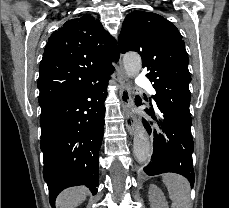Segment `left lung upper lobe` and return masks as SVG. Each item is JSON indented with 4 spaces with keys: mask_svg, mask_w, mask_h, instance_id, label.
I'll return each mask as SVG.
<instances>
[{
    "mask_svg": "<svg viewBox=\"0 0 229 208\" xmlns=\"http://www.w3.org/2000/svg\"><path fill=\"white\" fill-rule=\"evenodd\" d=\"M119 48L122 53L136 51L141 55L146 77L156 90L153 98L157 105L191 116L189 59L173 23L152 12H131L123 22Z\"/></svg>",
    "mask_w": 229,
    "mask_h": 208,
    "instance_id": "obj_1",
    "label": "left lung upper lobe"
}]
</instances>
